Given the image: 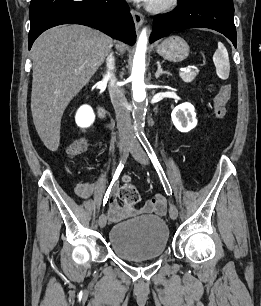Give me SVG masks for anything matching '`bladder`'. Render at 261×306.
<instances>
[{
  "label": "bladder",
  "mask_w": 261,
  "mask_h": 306,
  "mask_svg": "<svg viewBox=\"0 0 261 306\" xmlns=\"http://www.w3.org/2000/svg\"><path fill=\"white\" fill-rule=\"evenodd\" d=\"M169 235L164 219L140 215L115 224L109 232V244L113 252L124 260L154 259L167 251Z\"/></svg>",
  "instance_id": "bladder-1"
}]
</instances>
